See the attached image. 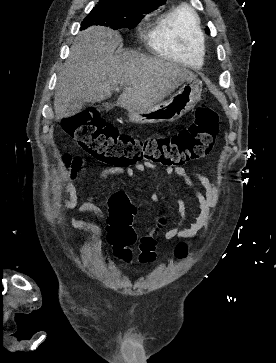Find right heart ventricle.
Masks as SVG:
<instances>
[{"instance_id": "right-heart-ventricle-1", "label": "right heart ventricle", "mask_w": 276, "mask_h": 363, "mask_svg": "<svg viewBox=\"0 0 276 363\" xmlns=\"http://www.w3.org/2000/svg\"><path fill=\"white\" fill-rule=\"evenodd\" d=\"M152 50L159 56L200 67L204 58V41L195 12L181 6L163 14L149 37Z\"/></svg>"}]
</instances>
